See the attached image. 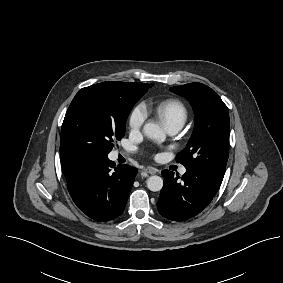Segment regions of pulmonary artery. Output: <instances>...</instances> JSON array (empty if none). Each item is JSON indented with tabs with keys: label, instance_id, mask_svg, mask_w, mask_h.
Returning <instances> with one entry per match:
<instances>
[{
	"label": "pulmonary artery",
	"instance_id": "obj_1",
	"mask_svg": "<svg viewBox=\"0 0 283 283\" xmlns=\"http://www.w3.org/2000/svg\"><path fill=\"white\" fill-rule=\"evenodd\" d=\"M181 129V126L180 125H170L167 127V132L170 134V135H174L176 134L179 130ZM186 172V169L185 168H181L180 169V174H184Z\"/></svg>",
	"mask_w": 283,
	"mask_h": 283
}]
</instances>
